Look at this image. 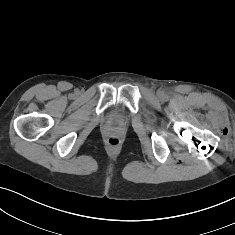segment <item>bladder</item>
<instances>
[{"label":"bladder","instance_id":"obj_1","mask_svg":"<svg viewBox=\"0 0 235 235\" xmlns=\"http://www.w3.org/2000/svg\"><path fill=\"white\" fill-rule=\"evenodd\" d=\"M111 116L114 120H116L119 117V109L113 108L111 111Z\"/></svg>","mask_w":235,"mask_h":235}]
</instances>
